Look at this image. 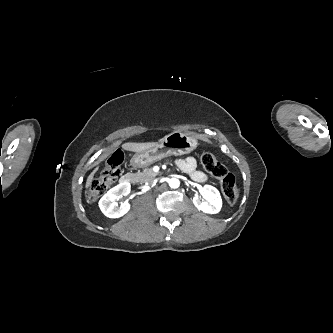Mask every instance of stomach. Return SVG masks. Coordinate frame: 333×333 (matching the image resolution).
I'll return each mask as SVG.
<instances>
[{
  "instance_id": "0dacf381",
  "label": "stomach",
  "mask_w": 333,
  "mask_h": 333,
  "mask_svg": "<svg viewBox=\"0 0 333 333\" xmlns=\"http://www.w3.org/2000/svg\"><path fill=\"white\" fill-rule=\"evenodd\" d=\"M198 145L192 138L180 131H174L159 140L156 146L136 153L130 161L135 168L146 167L170 155H182L192 152Z\"/></svg>"
}]
</instances>
